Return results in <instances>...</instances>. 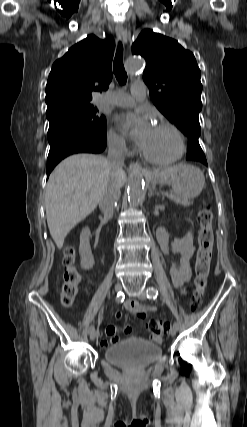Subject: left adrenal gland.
Returning <instances> with one entry per match:
<instances>
[{"label":"left adrenal gland","instance_id":"obj_1","mask_svg":"<svg viewBox=\"0 0 247 427\" xmlns=\"http://www.w3.org/2000/svg\"><path fill=\"white\" fill-rule=\"evenodd\" d=\"M155 195L159 196V194H158V193L153 192L152 188H150V189H149V193H148V197H149V198H151L152 196H155Z\"/></svg>","mask_w":247,"mask_h":427}]
</instances>
